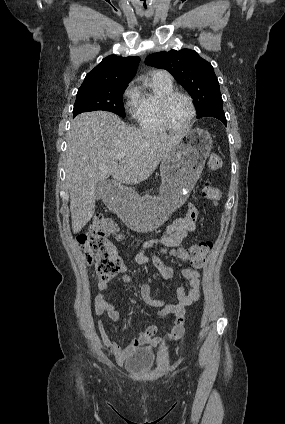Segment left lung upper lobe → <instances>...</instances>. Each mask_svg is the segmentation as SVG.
<instances>
[{
	"instance_id": "left-lung-upper-lobe-1",
	"label": "left lung upper lobe",
	"mask_w": 285,
	"mask_h": 424,
	"mask_svg": "<svg viewBox=\"0 0 285 424\" xmlns=\"http://www.w3.org/2000/svg\"><path fill=\"white\" fill-rule=\"evenodd\" d=\"M145 63L169 71L194 100L197 118L222 106L219 82L212 65L190 49L162 51L149 55Z\"/></svg>"
}]
</instances>
